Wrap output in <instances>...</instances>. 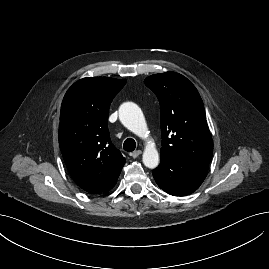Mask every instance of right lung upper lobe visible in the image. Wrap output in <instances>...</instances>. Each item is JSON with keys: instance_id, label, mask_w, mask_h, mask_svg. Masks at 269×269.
<instances>
[{"instance_id": "right-lung-upper-lobe-1", "label": "right lung upper lobe", "mask_w": 269, "mask_h": 269, "mask_svg": "<svg viewBox=\"0 0 269 269\" xmlns=\"http://www.w3.org/2000/svg\"><path fill=\"white\" fill-rule=\"evenodd\" d=\"M126 80L83 78L66 92L60 115L59 146L76 184L101 193L119 177L125 158L111 143L109 107Z\"/></svg>"}]
</instances>
